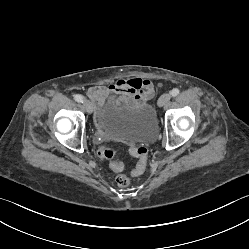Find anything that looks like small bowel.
<instances>
[{
  "mask_svg": "<svg viewBox=\"0 0 249 249\" xmlns=\"http://www.w3.org/2000/svg\"><path fill=\"white\" fill-rule=\"evenodd\" d=\"M119 95L123 101L128 99L134 104H143L154 95V85L146 79H120L109 86H94L89 88V97L97 104H102L106 96Z\"/></svg>",
  "mask_w": 249,
  "mask_h": 249,
  "instance_id": "obj_1",
  "label": "small bowel"
}]
</instances>
